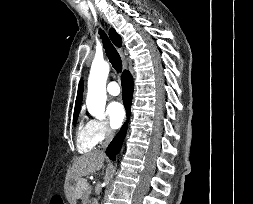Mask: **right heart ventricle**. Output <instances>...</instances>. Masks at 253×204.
Wrapping results in <instances>:
<instances>
[{"mask_svg": "<svg viewBox=\"0 0 253 204\" xmlns=\"http://www.w3.org/2000/svg\"><path fill=\"white\" fill-rule=\"evenodd\" d=\"M76 145L80 153H86L94 149L96 143L92 137L89 122L80 121L76 131Z\"/></svg>", "mask_w": 253, "mask_h": 204, "instance_id": "right-heart-ventricle-1", "label": "right heart ventricle"}]
</instances>
